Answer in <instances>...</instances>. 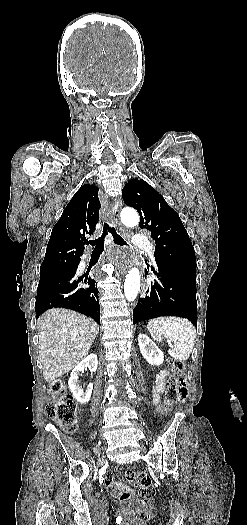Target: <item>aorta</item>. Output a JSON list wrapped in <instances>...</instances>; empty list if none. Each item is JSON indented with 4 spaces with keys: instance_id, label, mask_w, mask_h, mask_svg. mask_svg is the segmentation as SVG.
I'll list each match as a JSON object with an SVG mask.
<instances>
[{
    "instance_id": "1",
    "label": "aorta",
    "mask_w": 247,
    "mask_h": 525,
    "mask_svg": "<svg viewBox=\"0 0 247 525\" xmlns=\"http://www.w3.org/2000/svg\"><path fill=\"white\" fill-rule=\"evenodd\" d=\"M121 221L127 227H135L139 223L138 213L131 208H124L121 211ZM140 291V273L137 268H132L124 282V294L128 301L136 299Z\"/></svg>"
}]
</instances>
